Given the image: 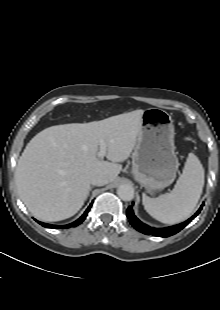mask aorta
Segmentation results:
<instances>
[{
  "instance_id": "1",
  "label": "aorta",
  "mask_w": 220,
  "mask_h": 310,
  "mask_svg": "<svg viewBox=\"0 0 220 310\" xmlns=\"http://www.w3.org/2000/svg\"><path fill=\"white\" fill-rule=\"evenodd\" d=\"M117 194L123 201H131L134 198V188L129 184L120 185Z\"/></svg>"
}]
</instances>
